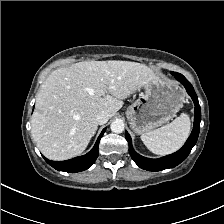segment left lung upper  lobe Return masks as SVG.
<instances>
[{
    "instance_id": "obj_1",
    "label": "left lung upper lobe",
    "mask_w": 224,
    "mask_h": 224,
    "mask_svg": "<svg viewBox=\"0 0 224 224\" xmlns=\"http://www.w3.org/2000/svg\"><path fill=\"white\" fill-rule=\"evenodd\" d=\"M171 74H172V75H175V74H177V72H171Z\"/></svg>"
}]
</instances>
